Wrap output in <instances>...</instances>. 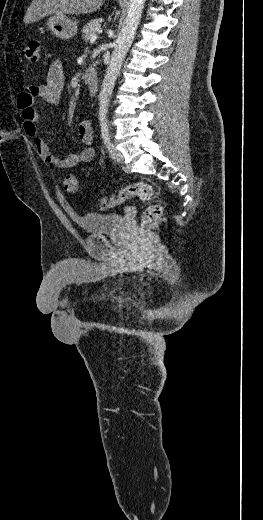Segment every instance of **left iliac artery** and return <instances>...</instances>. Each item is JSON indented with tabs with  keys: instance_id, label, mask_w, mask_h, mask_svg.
I'll use <instances>...</instances> for the list:
<instances>
[{
	"instance_id": "obj_1",
	"label": "left iliac artery",
	"mask_w": 263,
	"mask_h": 520,
	"mask_svg": "<svg viewBox=\"0 0 263 520\" xmlns=\"http://www.w3.org/2000/svg\"><path fill=\"white\" fill-rule=\"evenodd\" d=\"M101 134L106 147H109L110 144V135H109V126L107 124V120H101Z\"/></svg>"
}]
</instances>
